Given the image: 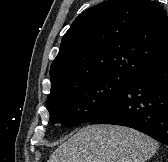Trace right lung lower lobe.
<instances>
[{
	"label": "right lung lower lobe",
	"mask_w": 168,
	"mask_h": 162,
	"mask_svg": "<svg viewBox=\"0 0 168 162\" xmlns=\"http://www.w3.org/2000/svg\"><path fill=\"white\" fill-rule=\"evenodd\" d=\"M139 130L168 145V60L133 75L91 124Z\"/></svg>",
	"instance_id": "obj_1"
}]
</instances>
